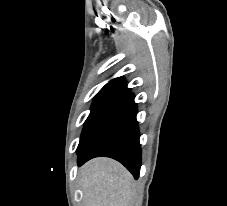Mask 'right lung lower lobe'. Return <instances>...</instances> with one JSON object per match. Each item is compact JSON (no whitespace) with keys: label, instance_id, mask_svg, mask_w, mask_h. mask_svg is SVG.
I'll list each match as a JSON object with an SVG mask.
<instances>
[{"label":"right lung lower lobe","instance_id":"right-lung-lower-lobe-1","mask_svg":"<svg viewBox=\"0 0 227 206\" xmlns=\"http://www.w3.org/2000/svg\"><path fill=\"white\" fill-rule=\"evenodd\" d=\"M130 91L101 116L79 145L78 166L91 158L106 156L122 163L135 179L139 177L141 146L136 120L137 105Z\"/></svg>","mask_w":227,"mask_h":206}]
</instances>
